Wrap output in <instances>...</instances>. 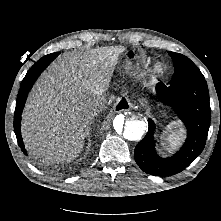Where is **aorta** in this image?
<instances>
[{
	"instance_id": "aorta-1",
	"label": "aorta",
	"mask_w": 221,
	"mask_h": 221,
	"mask_svg": "<svg viewBox=\"0 0 221 221\" xmlns=\"http://www.w3.org/2000/svg\"><path fill=\"white\" fill-rule=\"evenodd\" d=\"M113 132L125 141H138L142 138L147 124L138 114H119L113 119Z\"/></svg>"
}]
</instances>
